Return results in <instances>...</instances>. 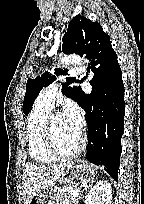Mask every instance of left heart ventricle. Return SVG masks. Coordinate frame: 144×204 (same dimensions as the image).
Masks as SVG:
<instances>
[{
    "instance_id": "b2bd125f",
    "label": "left heart ventricle",
    "mask_w": 144,
    "mask_h": 204,
    "mask_svg": "<svg viewBox=\"0 0 144 204\" xmlns=\"http://www.w3.org/2000/svg\"><path fill=\"white\" fill-rule=\"evenodd\" d=\"M53 129L57 145L62 151L68 152L75 148L79 136L70 129L63 116L55 117Z\"/></svg>"
}]
</instances>
